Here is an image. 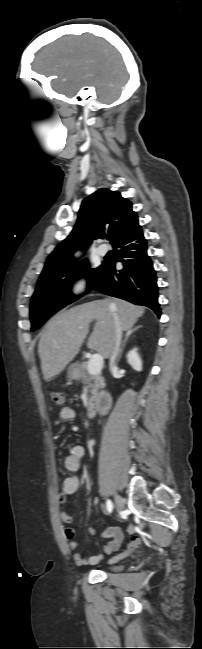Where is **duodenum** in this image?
I'll return each instance as SVG.
<instances>
[{
	"mask_svg": "<svg viewBox=\"0 0 202 649\" xmlns=\"http://www.w3.org/2000/svg\"><path fill=\"white\" fill-rule=\"evenodd\" d=\"M111 402L110 398L107 394H98L96 401H95V408H94V413H102L105 414L108 412L110 409Z\"/></svg>",
	"mask_w": 202,
	"mask_h": 649,
	"instance_id": "410a0bca",
	"label": "duodenum"
}]
</instances>
